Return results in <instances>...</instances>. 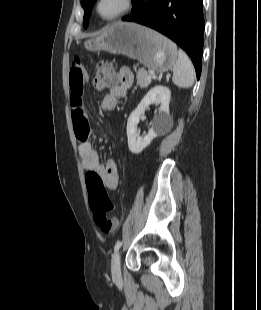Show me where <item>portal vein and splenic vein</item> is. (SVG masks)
Wrapping results in <instances>:
<instances>
[{
	"instance_id": "1",
	"label": "portal vein and splenic vein",
	"mask_w": 261,
	"mask_h": 310,
	"mask_svg": "<svg viewBox=\"0 0 261 310\" xmlns=\"http://www.w3.org/2000/svg\"><path fill=\"white\" fill-rule=\"evenodd\" d=\"M148 78H149V79H151V78H156V75H155L154 73H150V74L148 75Z\"/></svg>"
}]
</instances>
